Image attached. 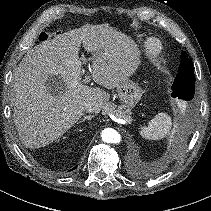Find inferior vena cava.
Instances as JSON below:
<instances>
[{
  "instance_id": "obj_1",
  "label": "inferior vena cava",
  "mask_w": 211,
  "mask_h": 211,
  "mask_svg": "<svg viewBox=\"0 0 211 211\" xmlns=\"http://www.w3.org/2000/svg\"><path fill=\"white\" fill-rule=\"evenodd\" d=\"M84 110L85 112H88V113H93V112L95 113L96 107L92 103H86Z\"/></svg>"
}]
</instances>
